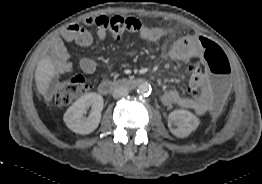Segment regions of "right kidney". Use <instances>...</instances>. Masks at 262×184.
<instances>
[{
  "mask_svg": "<svg viewBox=\"0 0 262 184\" xmlns=\"http://www.w3.org/2000/svg\"><path fill=\"white\" fill-rule=\"evenodd\" d=\"M103 97L97 93H88L81 96L65 112L63 120L67 127L78 134H89L99 125L101 120V111L103 109ZM91 112L86 118L84 114L89 107Z\"/></svg>",
  "mask_w": 262,
  "mask_h": 184,
  "instance_id": "ca27d5eb",
  "label": "right kidney"
}]
</instances>
